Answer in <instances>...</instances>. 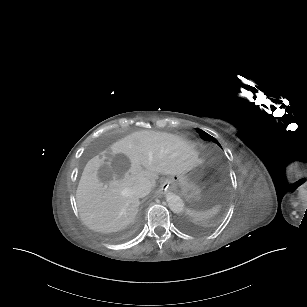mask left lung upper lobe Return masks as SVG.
Returning a JSON list of instances; mask_svg holds the SVG:
<instances>
[{
	"label": "left lung upper lobe",
	"mask_w": 307,
	"mask_h": 307,
	"mask_svg": "<svg viewBox=\"0 0 307 307\" xmlns=\"http://www.w3.org/2000/svg\"><path fill=\"white\" fill-rule=\"evenodd\" d=\"M196 130L200 134L202 139L207 140V141L216 142L220 146L219 142L214 137L210 136L209 134H207L206 132L202 131L201 129L197 128Z\"/></svg>",
	"instance_id": "5c2ea615"
}]
</instances>
